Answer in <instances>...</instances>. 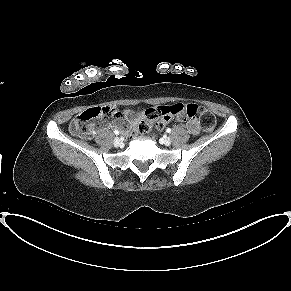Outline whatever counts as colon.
I'll list each match as a JSON object with an SVG mask.
<instances>
[{
	"label": "colon",
	"instance_id": "obj_1",
	"mask_svg": "<svg viewBox=\"0 0 291 291\" xmlns=\"http://www.w3.org/2000/svg\"><path fill=\"white\" fill-rule=\"evenodd\" d=\"M186 115L194 117L198 115L203 130L209 132L215 128V116L205 107L195 104H176L172 106H160L148 112L145 120H142L137 128L139 133H148L151 130V123H155L158 129H162L172 117ZM120 117V113L112 106H94L76 115L70 123V131L83 138H90L98 122L112 121Z\"/></svg>",
	"mask_w": 291,
	"mask_h": 291
}]
</instances>
